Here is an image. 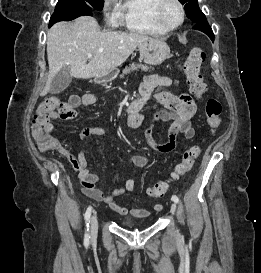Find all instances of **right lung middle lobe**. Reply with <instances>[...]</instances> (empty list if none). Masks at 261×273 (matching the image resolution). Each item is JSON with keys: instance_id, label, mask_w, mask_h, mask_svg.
Segmentation results:
<instances>
[{"instance_id": "1", "label": "right lung middle lobe", "mask_w": 261, "mask_h": 273, "mask_svg": "<svg viewBox=\"0 0 261 273\" xmlns=\"http://www.w3.org/2000/svg\"><path fill=\"white\" fill-rule=\"evenodd\" d=\"M103 0H59L49 25L58 21H69L82 15L92 16V10H101Z\"/></svg>"}]
</instances>
